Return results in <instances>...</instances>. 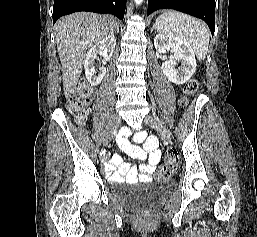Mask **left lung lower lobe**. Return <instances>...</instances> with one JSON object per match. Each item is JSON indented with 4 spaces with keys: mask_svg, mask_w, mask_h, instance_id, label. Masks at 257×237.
<instances>
[{
    "mask_svg": "<svg viewBox=\"0 0 257 237\" xmlns=\"http://www.w3.org/2000/svg\"><path fill=\"white\" fill-rule=\"evenodd\" d=\"M159 9H174L200 18L214 33L215 0H148L147 15Z\"/></svg>",
    "mask_w": 257,
    "mask_h": 237,
    "instance_id": "obj_1",
    "label": "left lung lower lobe"
}]
</instances>
